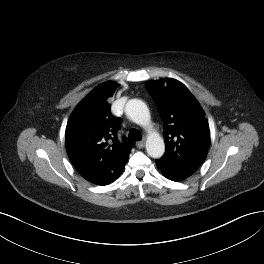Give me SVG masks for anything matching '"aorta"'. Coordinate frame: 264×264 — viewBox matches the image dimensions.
<instances>
[{"label": "aorta", "mask_w": 264, "mask_h": 264, "mask_svg": "<svg viewBox=\"0 0 264 264\" xmlns=\"http://www.w3.org/2000/svg\"><path fill=\"white\" fill-rule=\"evenodd\" d=\"M126 115L130 120L139 124L147 125L150 122V112L147 105L139 99H131L125 107ZM146 151L152 158H160L165 152L163 139L156 133L147 137Z\"/></svg>", "instance_id": "aorta-1"}]
</instances>
